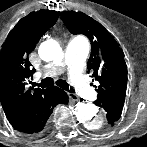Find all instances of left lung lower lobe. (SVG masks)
<instances>
[{"mask_svg":"<svg viewBox=\"0 0 147 147\" xmlns=\"http://www.w3.org/2000/svg\"><path fill=\"white\" fill-rule=\"evenodd\" d=\"M125 97H114L103 101L95 102V104L107 112V124L106 126H113L116 121L119 120Z\"/></svg>","mask_w":147,"mask_h":147,"instance_id":"1","label":"left lung lower lobe"}]
</instances>
